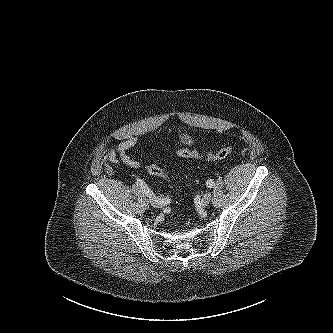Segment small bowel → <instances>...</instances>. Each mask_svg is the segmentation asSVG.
I'll list each match as a JSON object with an SVG mask.
<instances>
[{
  "mask_svg": "<svg viewBox=\"0 0 333 333\" xmlns=\"http://www.w3.org/2000/svg\"><path fill=\"white\" fill-rule=\"evenodd\" d=\"M180 140L183 144L187 146H191L194 143V139L188 134H181ZM137 143L136 137H129L119 144L112 146L107 152V159L109 162L115 165H119L121 163L132 167L138 168L140 167V162L133 159L128 155V151L134 147Z\"/></svg>",
  "mask_w": 333,
  "mask_h": 333,
  "instance_id": "small-bowel-1",
  "label": "small bowel"
}]
</instances>
